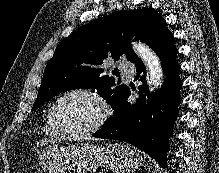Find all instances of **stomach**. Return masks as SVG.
<instances>
[{
    "label": "stomach",
    "mask_w": 219,
    "mask_h": 173,
    "mask_svg": "<svg viewBox=\"0 0 219 173\" xmlns=\"http://www.w3.org/2000/svg\"><path fill=\"white\" fill-rule=\"evenodd\" d=\"M38 160L45 173H86L98 167L130 173L140 166L138 153L122 143L101 146L52 143L41 151Z\"/></svg>",
    "instance_id": "1"
}]
</instances>
